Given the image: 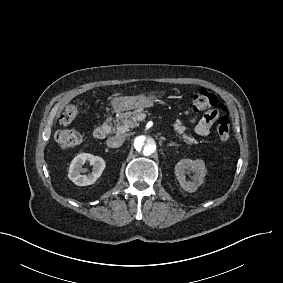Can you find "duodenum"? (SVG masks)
I'll return each instance as SVG.
<instances>
[{
    "mask_svg": "<svg viewBox=\"0 0 283 283\" xmlns=\"http://www.w3.org/2000/svg\"><path fill=\"white\" fill-rule=\"evenodd\" d=\"M110 132V126L107 121L96 127L93 131V136L97 140H103Z\"/></svg>",
    "mask_w": 283,
    "mask_h": 283,
    "instance_id": "duodenum-1",
    "label": "duodenum"
}]
</instances>
